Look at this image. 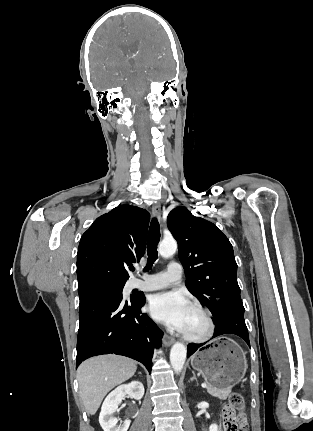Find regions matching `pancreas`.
<instances>
[{"label": "pancreas", "instance_id": "cf45deb5", "mask_svg": "<svg viewBox=\"0 0 313 431\" xmlns=\"http://www.w3.org/2000/svg\"><path fill=\"white\" fill-rule=\"evenodd\" d=\"M207 392L210 395H212L213 397H217L221 400H225L229 396V394L231 393V388L224 389V390H218V389H215V388L208 386Z\"/></svg>", "mask_w": 313, "mask_h": 431}]
</instances>
